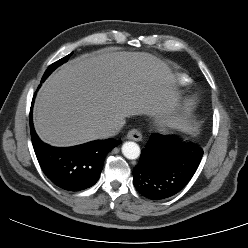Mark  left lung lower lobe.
Masks as SVG:
<instances>
[{"label": "left lung lower lobe", "mask_w": 248, "mask_h": 248, "mask_svg": "<svg viewBox=\"0 0 248 248\" xmlns=\"http://www.w3.org/2000/svg\"><path fill=\"white\" fill-rule=\"evenodd\" d=\"M203 153V148L193 142L152 134L133 170V184L151 200L174 196L191 180Z\"/></svg>", "instance_id": "1"}]
</instances>
